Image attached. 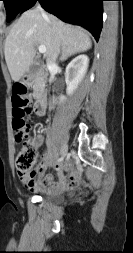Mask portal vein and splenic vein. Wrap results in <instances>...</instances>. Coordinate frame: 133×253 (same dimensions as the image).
Returning a JSON list of instances; mask_svg holds the SVG:
<instances>
[{
	"label": "portal vein and splenic vein",
	"instance_id": "obj_1",
	"mask_svg": "<svg viewBox=\"0 0 133 253\" xmlns=\"http://www.w3.org/2000/svg\"><path fill=\"white\" fill-rule=\"evenodd\" d=\"M38 50L42 54L46 53V47L44 45H39Z\"/></svg>",
	"mask_w": 133,
	"mask_h": 253
}]
</instances>
